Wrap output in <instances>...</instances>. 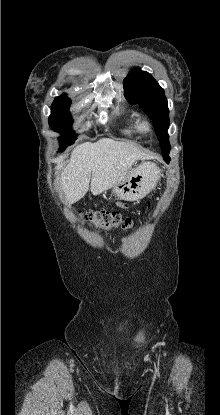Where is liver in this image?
Segmentation results:
<instances>
[{
	"instance_id": "liver-1",
	"label": "liver",
	"mask_w": 220,
	"mask_h": 415,
	"mask_svg": "<svg viewBox=\"0 0 220 415\" xmlns=\"http://www.w3.org/2000/svg\"><path fill=\"white\" fill-rule=\"evenodd\" d=\"M149 158L133 144L109 138L77 146L60 178L66 201L73 204L83 198L90 179L93 195L109 190L123 181L137 160Z\"/></svg>"
}]
</instances>
